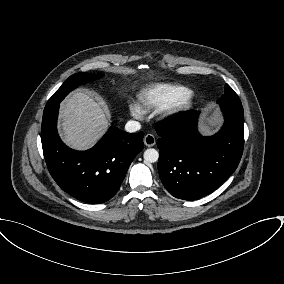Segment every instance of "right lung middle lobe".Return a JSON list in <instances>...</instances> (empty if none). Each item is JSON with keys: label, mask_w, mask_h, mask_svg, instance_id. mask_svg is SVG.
<instances>
[{"label": "right lung middle lobe", "mask_w": 284, "mask_h": 284, "mask_svg": "<svg viewBox=\"0 0 284 284\" xmlns=\"http://www.w3.org/2000/svg\"><path fill=\"white\" fill-rule=\"evenodd\" d=\"M102 75L94 73H76L65 80L62 86L53 94V96L48 100L44 111H47L54 106L58 105L64 97L73 89L78 87L81 84H84L88 81H92Z\"/></svg>", "instance_id": "dd1d6c3e"}]
</instances>
